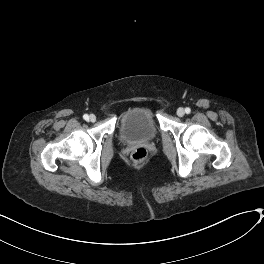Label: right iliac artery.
<instances>
[{
    "instance_id": "82829eb1",
    "label": "right iliac artery",
    "mask_w": 264,
    "mask_h": 264,
    "mask_svg": "<svg viewBox=\"0 0 264 264\" xmlns=\"http://www.w3.org/2000/svg\"><path fill=\"white\" fill-rule=\"evenodd\" d=\"M88 118H89V116H88L87 114H84V115H83V119H84V120H88Z\"/></svg>"
}]
</instances>
